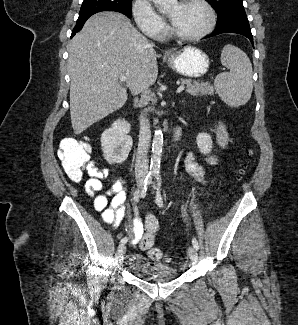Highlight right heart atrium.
Wrapping results in <instances>:
<instances>
[{
    "instance_id": "right-heart-atrium-1",
    "label": "right heart atrium",
    "mask_w": 298,
    "mask_h": 325,
    "mask_svg": "<svg viewBox=\"0 0 298 325\" xmlns=\"http://www.w3.org/2000/svg\"><path fill=\"white\" fill-rule=\"evenodd\" d=\"M133 14L140 30L151 31V41H164L165 22L156 13L149 0H136Z\"/></svg>"
}]
</instances>
